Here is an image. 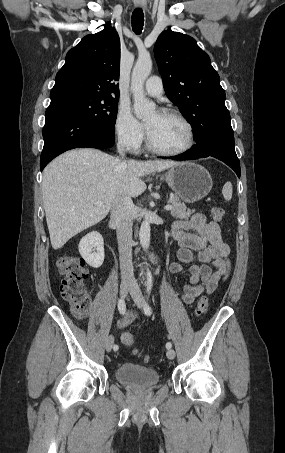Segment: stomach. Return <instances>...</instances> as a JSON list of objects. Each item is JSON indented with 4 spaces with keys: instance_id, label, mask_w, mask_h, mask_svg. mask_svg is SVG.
<instances>
[{
    "instance_id": "obj_1",
    "label": "stomach",
    "mask_w": 285,
    "mask_h": 453,
    "mask_svg": "<svg viewBox=\"0 0 285 453\" xmlns=\"http://www.w3.org/2000/svg\"><path fill=\"white\" fill-rule=\"evenodd\" d=\"M163 176L177 197L186 203L203 199L213 186L208 170L193 162L178 163Z\"/></svg>"
}]
</instances>
